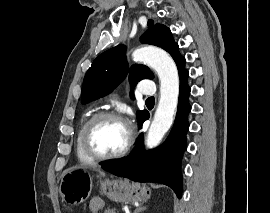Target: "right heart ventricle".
Instances as JSON below:
<instances>
[{
    "label": "right heart ventricle",
    "instance_id": "right-heart-ventricle-1",
    "mask_svg": "<svg viewBox=\"0 0 270 213\" xmlns=\"http://www.w3.org/2000/svg\"><path fill=\"white\" fill-rule=\"evenodd\" d=\"M93 115H87L80 123L77 133H76V138H75V150H76V154L78 159L83 162V163H92L94 160L91 159L83 150V146H82V135H83V131L84 128L87 124V122L90 120V118Z\"/></svg>",
    "mask_w": 270,
    "mask_h": 213
}]
</instances>
